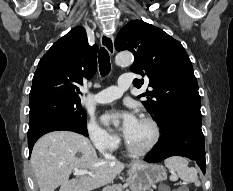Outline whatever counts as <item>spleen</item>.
Returning a JSON list of instances; mask_svg holds the SVG:
<instances>
[{
    "label": "spleen",
    "mask_w": 233,
    "mask_h": 191,
    "mask_svg": "<svg viewBox=\"0 0 233 191\" xmlns=\"http://www.w3.org/2000/svg\"><path fill=\"white\" fill-rule=\"evenodd\" d=\"M165 166L170 170L171 181H177L181 178L186 182H193L195 186H200L201 182L198 179L197 170L193 167H188V161L182 157H171L165 160ZM182 191V190H178Z\"/></svg>",
    "instance_id": "3e777b00"
}]
</instances>
